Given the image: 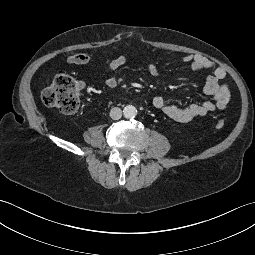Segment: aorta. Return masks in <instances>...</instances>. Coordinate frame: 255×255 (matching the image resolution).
Here are the masks:
<instances>
[{
    "instance_id": "aorta-1",
    "label": "aorta",
    "mask_w": 255,
    "mask_h": 255,
    "mask_svg": "<svg viewBox=\"0 0 255 255\" xmlns=\"http://www.w3.org/2000/svg\"><path fill=\"white\" fill-rule=\"evenodd\" d=\"M123 114L125 118H134L137 115V109L133 105L124 107Z\"/></svg>"
}]
</instances>
